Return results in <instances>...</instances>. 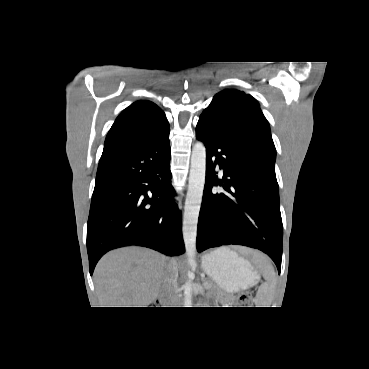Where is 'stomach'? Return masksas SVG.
<instances>
[{
	"label": "stomach",
	"mask_w": 369,
	"mask_h": 369,
	"mask_svg": "<svg viewBox=\"0 0 369 369\" xmlns=\"http://www.w3.org/2000/svg\"><path fill=\"white\" fill-rule=\"evenodd\" d=\"M204 272L224 291L235 293L253 286L259 279L251 263L228 248H219L202 257Z\"/></svg>",
	"instance_id": "obj_1"
}]
</instances>
